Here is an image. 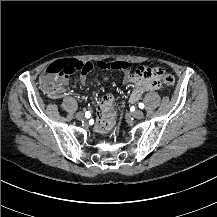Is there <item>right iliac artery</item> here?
Masks as SVG:
<instances>
[{"label":"right iliac artery","instance_id":"82829eb1","mask_svg":"<svg viewBox=\"0 0 217 217\" xmlns=\"http://www.w3.org/2000/svg\"><path fill=\"white\" fill-rule=\"evenodd\" d=\"M92 115V112L90 110H87L85 112V117H90Z\"/></svg>","mask_w":217,"mask_h":217}]
</instances>
